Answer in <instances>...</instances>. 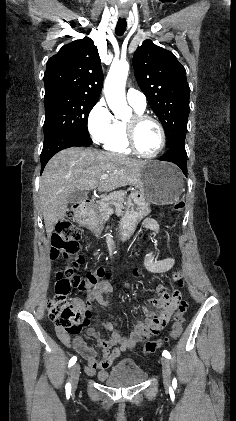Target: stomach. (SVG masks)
<instances>
[{
	"mask_svg": "<svg viewBox=\"0 0 236 421\" xmlns=\"http://www.w3.org/2000/svg\"><path fill=\"white\" fill-rule=\"evenodd\" d=\"M139 190H133L119 221L121 241L132 237L138 223L150 213V204H173L183 188L181 170L160 160H144L139 172Z\"/></svg>",
	"mask_w": 236,
	"mask_h": 421,
	"instance_id": "1",
	"label": "stomach"
}]
</instances>
